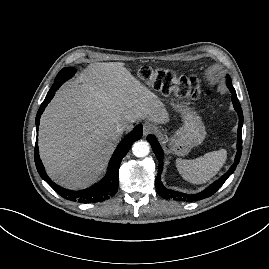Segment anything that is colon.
Segmentation results:
<instances>
[{"instance_id": "5ec220e1", "label": "colon", "mask_w": 269, "mask_h": 269, "mask_svg": "<svg viewBox=\"0 0 269 269\" xmlns=\"http://www.w3.org/2000/svg\"><path fill=\"white\" fill-rule=\"evenodd\" d=\"M139 77L158 90L174 91L182 97L197 98L201 94L200 83L196 77L177 78L171 71L149 67L141 68Z\"/></svg>"}]
</instances>
